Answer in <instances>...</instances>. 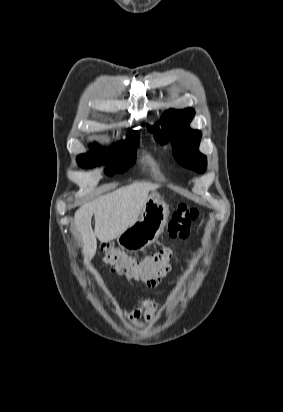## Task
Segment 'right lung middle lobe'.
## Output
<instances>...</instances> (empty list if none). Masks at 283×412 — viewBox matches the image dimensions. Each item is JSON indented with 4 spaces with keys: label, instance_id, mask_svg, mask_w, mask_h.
Segmentation results:
<instances>
[{
    "label": "right lung middle lobe",
    "instance_id": "dd1d6c3e",
    "mask_svg": "<svg viewBox=\"0 0 283 412\" xmlns=\"http://www.w3.org/2000/svg\"><path fill=\"white\" fill-rule=\"evenodd\" d=\"M139 135L129 137L118 146H114L108 152L98 153L91 151L90 154H82L77 157V162L81 167L92 168L95 164L107 163L106 173L124 172L134 163L135 151L139 144Z\"/></svg>",
    "mask_w": 283,
    "mask_h": 412
}]
</instances>
